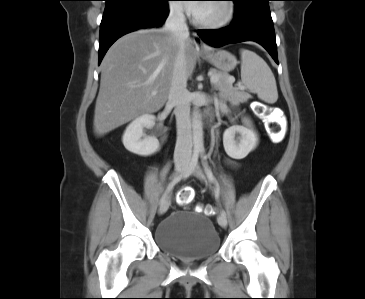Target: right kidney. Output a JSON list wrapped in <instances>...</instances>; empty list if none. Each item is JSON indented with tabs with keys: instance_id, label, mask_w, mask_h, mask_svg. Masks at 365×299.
<instances>
[{
	"instance_id": "1",
	"label": "right kidney",
	"mask_w": 365,
	"mask_h": 299,
	"mask_svg": "<svg viewBox=\"0 0 365 299\" xmlns=\"http://www.w3.org/2000/svg\"><path fill=\"white\" fill-rule=\"evenodd\" d=\"M155 124L153 115L145 114L137 117L126 128L122 142L125 148L140 156H149L158 151L160 144L156 137L145 136L143 129ZM143 137V138H142Z\"/></svg>"
}]
</instances>
